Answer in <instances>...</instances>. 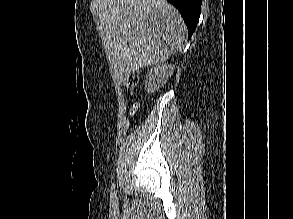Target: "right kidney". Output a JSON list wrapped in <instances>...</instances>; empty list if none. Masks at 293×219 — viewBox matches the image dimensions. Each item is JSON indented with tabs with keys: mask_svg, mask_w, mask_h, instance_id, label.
I'll use <instances>...</instances> for the list:
<instances>
[{
	"mask_svg": "<svg viewBox=\"0 0 293 219\" xmlns=\"http://www.w3.org/2000/svg\"><path fill=\"white\" fill-rule=\"evenodd\" d=\"M175 65L163 64L157 65L147 73L145 89L148 93H154L158 91L160 87L166 84L168 78L173 74Z\"/></svg>",
	"mask_w": 293,
	"mask_h": 219,
	"instance_id": "1",
	"label": "right kidney"
}]
</instances>
